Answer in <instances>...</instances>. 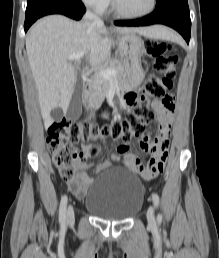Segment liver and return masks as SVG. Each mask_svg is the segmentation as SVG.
I'll list each match as a JSON object with an SVG mask.
<instances>
[{"label": "liver", "mask_w": 219, "mask_h": 258, "mask_svg": "<svg viewBox=\"0 0 219 258\" xmlns=\"http://www.w3.org/2000/svg\"><path fill=\"white\" fill-rule=\"evenodd\" d=\"M117 33H139L163 38L165 28L117 27ZM108 30L90 21L74 22L62 15H50L37 21L26 37V51L32 71L41 115L46 126L52 123L50 112L60 107L67 111L77 82L74 60L69 56L84 53L91 67H100L110 56L113 41ZM173 38L176 36L171 33Z\"/></svg>", "instance_id": "1"}]
</instances>
